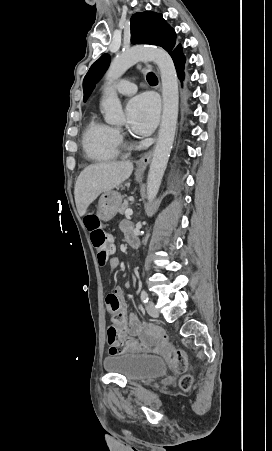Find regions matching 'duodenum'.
Listing matches in <instances>:
<instances>
[{
	"label": "duodenum",
	"mask_w": 272,
	"mask_h": 451,
	"mask_svg": "<svg viewBox=\"0 0 272 451\" xmlns=\"http://www.w3.org/2000/svg\"><path fill=\"white\" fill-rule=\"evenodd\" d=\"M128 243L133 249H137L139 247V245H140L139 240H138V238L136 236H131L128 239Z\"/></svg>",
	"instance_id": "1"
}]
</instances>
